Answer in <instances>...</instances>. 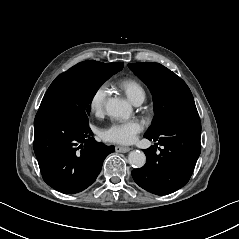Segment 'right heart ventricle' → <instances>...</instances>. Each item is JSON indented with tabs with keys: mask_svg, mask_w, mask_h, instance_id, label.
Returning <instances> with one entry per match:
<instances>
[{
	"mask_svg": "<svg viewBox=\"0 0 239 239\" xmlns=\"http://www.w3.org/2000/svg\"><path fill=\"white\" fill-rule=\"evenodd\" d=\"M123 87L132 100L139 96L145 97V91L143 87L135 81L127 80L123 83Z\"/></svg>",
	"mask_w": 239,
	"mask_h": 239,
	"instance_id": "e07e8e85",
	"label": "right heart ventricle"
}]
</instances>
